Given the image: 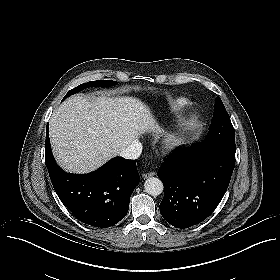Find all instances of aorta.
<instances>
[{
  "instance_id": "obj_1",
  "label": "aorta",
  "mask_w": 280,
  "mask_h": 280,
  "mask_svg": "<svg viewBox=\"0 0 280 280\" xmlns=\"http://www.w3.org/2000/svg\"><path fill=\"white\" fill-rule=\"evenodd\" d=\"M145 191L151 196H158L163 192V182L156 177L148 178L144 183Z\"/></svg>"
}]
</instances>
